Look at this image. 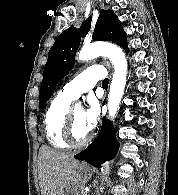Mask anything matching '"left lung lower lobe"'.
Listing matches in <instances>:
<instances>
[{"mask_svg": "<svg viewBox=\"0 0 178 195\" xmlns=\"http://www.w3.org/2000/svg\"><path fill=\"white\" fill-rule=\"evenodd\" d=\"M118 147L119 144L115 139L112 122L103 119L98 137L84 151L74 157L79 160H85L89 164L100 168L101 163L116 154Z\"/></svg>", "mask_w": 178, "mask_h": 195, "instance_id": "0a47b994", "label": "left lung lower lobe"}]
</instances>
